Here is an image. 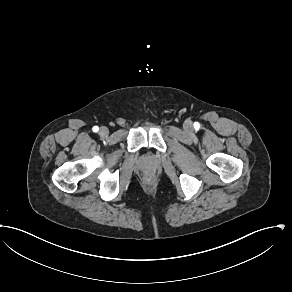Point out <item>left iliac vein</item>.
Listing matches in <instances>:
<instances>
[{
    "label": "left iliac vein",
    "mask_w": 292,
    "mask_h": 292,
    "mask_svg": "<svg viewBox=\"0 0 292 292\" xmlns=\"http://www.w3.org/2000/svg\"><path fill=\"white\" fill-rule=\"evenodd\" d=\"M184 129L187 130V131H189V130L192 129V123H191V121H186L184 123Z\"/></svg>",
    "instance_id": "obj_1"
}]
</instances>
